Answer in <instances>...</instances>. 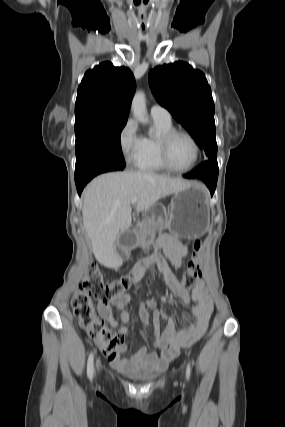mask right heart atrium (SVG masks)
<instances>
[{
    "label": "right heart atrium",
    "instance_id": "right-heart-atrium-1",
    "mask_svg": "<svg viewBox=\"0 0 285 427\" xmlns=\"http://www.w3.org/2000/svg\"><path fill=\"white\" fill-rule=\"evenodd\" d=\"M142 143L135 119L129 118L119 132V147L124 159L134 163Z\"/></svg>",
    "mask_w": 285,
    "mask_h": 427
}]
</instances>
